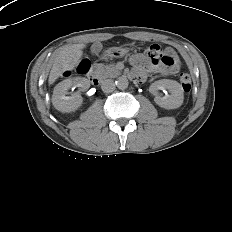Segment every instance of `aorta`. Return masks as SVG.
I'll list each match as a JSON object with an SVG mask.
<instances>
[{"instance_id": "obj_1", "label": "aorta", "mask_w": 232, "mask_h": 232, "mask_svg": "<svg viewBox=\"0 0 232 232\" xmlns=\"http://www.w3.org/2000/svg\"><path fill=\"white\" fill-rule=\"evenodd\" d=\"M128 85H129V82L125 76L119 77L116 81V86L121 90L128 88Z\"/></svg>"}]
</instances>
